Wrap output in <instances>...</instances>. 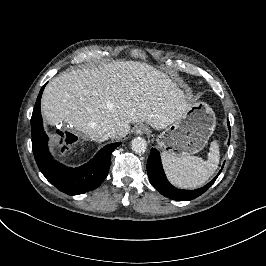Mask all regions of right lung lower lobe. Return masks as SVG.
Segmentation results:
<instances>
[{"instance_id": "1", "label": "right lung lower lobe", "mask_w": 266, "mask_h": 266, "mask_svg": "<svg viewBox=\"0 0 266 266\" xmlns=\"http://www.w3.org/2000/svg\"><path fill=\"white\" fill-rule=\"evenodd\" d=\"M45 85L37 97L31 118L32 148L36 163L46 179L68 195L94 190L107 177L112 151L121 143L106 145L87 164L77 168L66 167L54 160L48 149V137L43 129L40 111V100Z\"/></svg>"}]
</instances>
